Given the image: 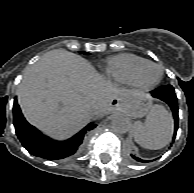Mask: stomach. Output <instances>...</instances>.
Returning a JSON list of instances; mask_svg holds the SVG:
<instances>
[{
	"mask_svg": "<svg viewBox=\"0 0 194 193\" xmlns=\"http://www.w3.org/2000/svg\"><path fill=\"white\" fill-rule=\"evenodd\" d=\"M151 98L146 94H141L128 102L118 99L115 107L118 111L132 118H140L146 115L151 109Z\"/></svg>",
	"mask_w": 194,
	"mask_h": 193,
	"instance_id": "obj_1",
	"label": "stomach"
}]
</instances>
